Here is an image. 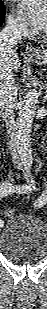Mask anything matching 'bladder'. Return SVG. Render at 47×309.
Listing matches in <instances>:
<instances>
[{"label": "bladder", "mask_w": 47, "mask_h": 309, "mask_svg": "<svg viewBox=\"0 0 47 309\" xmlns=\"http://www.w3.org/2000/svg\"><path fill=\"white\" fill-rule=\"evenodd\" d=\"M0 249L11 259L44 257L47 252L46 224L30 214L12 216L1 232Z\"/></svg>", "instance_id": "1"}]
</instances>
